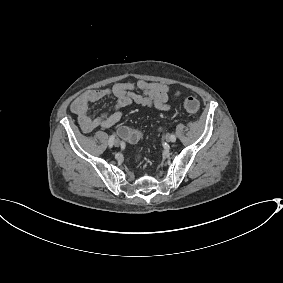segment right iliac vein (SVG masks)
I'll use <instances>...</instances> for the list:
<instances>
[{
  "label": "right iliac vein",
  "instance_id": "1",
  "mask_svg": "<svg viewBox=\"0 0 283 283\" xmlns=\"http://www.w3.org/2000/svg\"><path fill=\"white\" fill-rule=\"evenodd\" d=\"M114 146L115 147H119L120 146V141L119 140H115L114 141Z\"/></svg>",
  "mask_w": 283,
  "mask_h": 283
}]
</instances>
